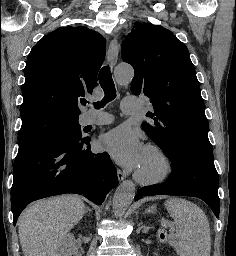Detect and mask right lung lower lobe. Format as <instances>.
<instances>
[{
  "label": "right lung lower lobe",
  "instance_id": "obj_1",
  "mask_svg": "<svg viewBox=\"0 0 236 256\" xmlns=\"http://www.w3.org/2000/svg\"><path fill=\"white\" fill-rule=\"evenodd\" d=\"M90 141L60 138L18 153L11 188L14 225L29 203L49 196L81 194L101 205L118 185L117 172L106 152H91Z\"/></svg>",
  "mask_w": 236,
  "mask_h": 256
}]
</instances>
